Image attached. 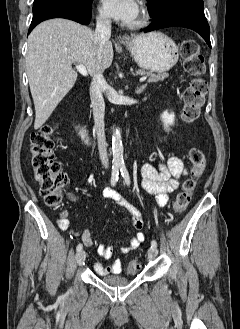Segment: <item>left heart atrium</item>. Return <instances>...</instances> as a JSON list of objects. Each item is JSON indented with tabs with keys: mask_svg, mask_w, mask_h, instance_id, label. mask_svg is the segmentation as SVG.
<instances>
[{
	"mask_svg": "<svg viewBox=\"0 0 240 329\" xmlns=\"http://www.w3.org/2000/svg\"><path fill=\"white\" fill-rule=\"evenodd\" d=\"M102 10L115 20L132 22L139 14L136 0H101Z\"/></svg>",
	"mask_w": 240,
	"mask_h": 329,
	"instance_id": "left-heart-atrium-1",
	"label": "left heart atrium"
}]
</instances>
